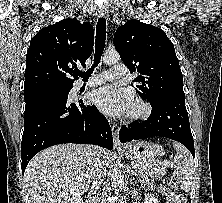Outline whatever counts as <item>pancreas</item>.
<instances>
[{"label": "pancreas", "instance_id": "obj_1", "mask_svg": "<svg viewBox=\"0 0 222 203\" xmlns=\"http://www.w3.org/2000/svg\"><path fill=\"white\" fill-rule=\"evenodd\" d=\"M138 166L136 172L139 176H149L158 179L166 174V166L164 162L155 160L137 161Z\"/></svg>", "mask_w": 222, "mask_h": 203}]
</instances>
